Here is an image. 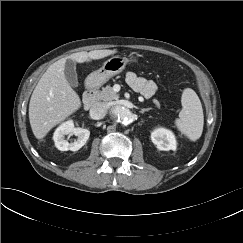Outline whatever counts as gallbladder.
Masks as SVG:
<instances>
[{
	"label": "gallbladder",
	"mask_w": 243,
	"mask_h": 243,
	"mask_svg": "<svg viewBox=\"0 0 243 243\" xmlns=\"http://www.w3.org/2000/svg\"><path fill=\"white\" fill-rule=\"evenodd\" d=\"M64 74L65 77L68 81V83L72 87H78V78H77V73H76V63L71 60L67 59L65 62V69H64Z\"/></svg>",
	"instance_id": "gallbladder-1"
}]
</instances>
